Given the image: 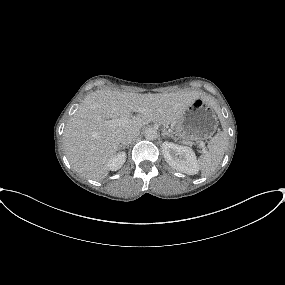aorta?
Segmentation results:
<instances>
[{"mask_svg":"<svg viewBox=\"0 0 285 285\" xmlns=\"http://www.w3.org/2000/svg\"><path fill=\"white\" fill-rule=\"evenodd\" d=\"M144 135L147 140H155L158 137V132L154 127H149L145 130Z\"/></svg>","mask_w":285,"mask_h":285,"instance_id":"1","label":"aorta"}]
</instances>
